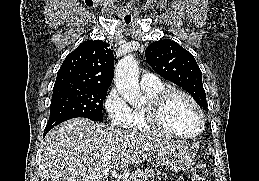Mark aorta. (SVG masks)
Here are the masks:
<instances>
[{
	"label": "aorta",
	"mask_w": 259,
	"mask_h": 181,
	"mask_svg": "<svg viewBox=\"0 0 259 181\" xmlns=\"http://www.w3.org/2000/svg\"><path fill=\"white\" fill-rule=\"evenodd\" d=\"M115 85L119 94L132 107H140L145 98L140 92L138 64L132 54L124 56L115 68Z\"/></svg>",
	"instance_id": "762f6f07"
}]
</instances>
